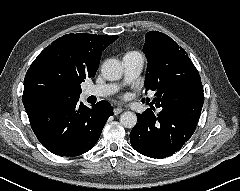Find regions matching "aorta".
I'll use <instances>...</instances> for the list:
<instances>
[{"instance_id":"aorta-1","label":"aorta","mask_w":240,"mask_h":191,"mask_svg":"<svg viewBox=\"0 0 240 191\" xmlns=\"http://www.w3.org/2000/svg\"><path fill=\"white\" fill-rule=\"evenodd\" d=\"M102 75L109 81H115L122 77L123 66L117 59H107L101 67ZM120 123L125 128H133L137 124V116L131 111H126L120 116Z\"/></svg>"}]
</instances>
